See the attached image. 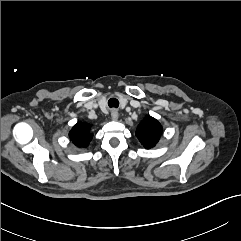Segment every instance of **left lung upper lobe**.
I'll use <instances>...</instances> for the list:
<instances>
[{
    "mask_svg": "<svg viewBox=\"0 0 241 241\" xmlns=\"http://www.w3.org/2000/svg\"><path fill=\"white\" fill-rule=\"evenodd\" d=\"M161 134V124L151 116H146L136 131L137 138L146 149L154 147L159 141Z\"/></svg>",
    "mask_w": 241,
    "mask_h": 241,
    "instance_id": "5c2ea615",
    "label": "left lung upper lobe"
}]
</instances>
